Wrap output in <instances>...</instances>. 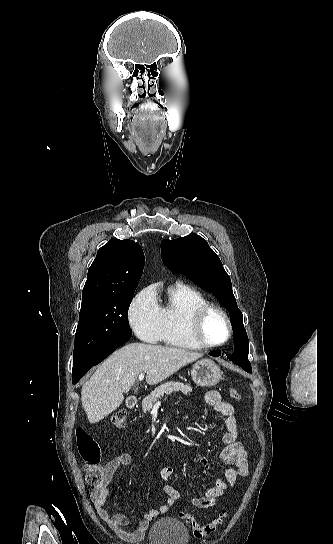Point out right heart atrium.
Wrapping results in <instances>:
<instances>
[{
	"instance_id": "obj_1",
	"label": "right heart atrium",
	"mask_w": 333,
	"mask_h": 544,
	"mask_svg": "<svg viewBox=\"0 0 333 544\" xmlns=\"http://www.w3.org/2000/svg\"><path fill=\"white\" fill-rule=\"evenodd\" d=\"M128 316L132 330L142 341L154 344L161 340L162 314L153 288H144L135 296Z\"/></svg>"
}]
</instances>
